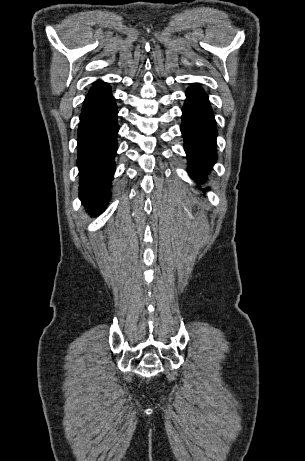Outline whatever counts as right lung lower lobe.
Masks as SVG:
<instances>
[{"label": "right lung lower lobe", "mask_w": 305, "mask_h": 461, "mask_svg": "<svg viewBox=\"0 0 305 461\" xmlns=\"http://www.w3.org/2000/svg\"><path fill=\"white\" fill-rule=\"evenodd\" d=\"M117 105L111 87L98 81L90 88L78 128L79 197L93 215L102 213L110 200L117 150Z\"/></svg>", "instance_id": "1"}]
</instances>
